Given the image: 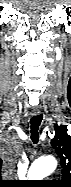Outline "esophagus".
<instances>
[{
	"label": "esophagus",
	"mask_w": 71,
	"mask_h": 187,
	"mask_svg": "<svg viewBox=\"0 0 71 187\" xmlns=\"http://www.w3.org/2000/svg\"><path fill=\"white\" fill-rule=\"evenodd\" d=\"M32 113H33L34 115L40 114V113H41V107H39V106L33 107V108H32Z\"/></svg>",
	"instance_id": "34e87169"
}]
</instances>
